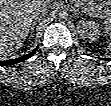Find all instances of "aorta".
Instances as JSON below:
<instances>
[{
	"instance_id": "aorta-1",
	"label": "aorta",
	"mask_w": 111,
	"mask_h": 106,
	"mask_svg": "<svg viewBox=\"0 0 111 106\" xmlns=\"http://www.w3.org/2000/svg\"><path fill=\"white\" fill-rule=\"evenodd\" d=\"M58 18H59L60 20H64V19L66 18V12H65V11H60V12L58 13Z\"/></svg>"
}]
</instances>
